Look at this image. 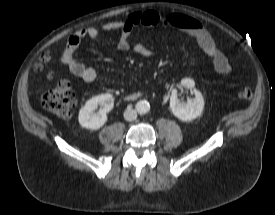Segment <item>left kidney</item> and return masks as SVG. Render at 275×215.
I'll use <instances>...</instances> for the list:
<instances>
[{
  "mask_svg": "<svg viewBox=\"0 0 275 215\" xmlns=\"http://www.w3.org/2000/svg\"><path fill=\"white\" fill-rule=\"evenodd\" d=\"M181 84L187 88H194L195 82L191 78H184ZM195 99L193 101L182 102L177 98V91L173 90L170 96V109L175 117L181 121H191L196 119L203 111L204 99L202 94L194 89Z\"/></svg>",
  "mask_w": 275,
  "mask_h": 215,
  "instance_id": "obj_1",
  "label": "left kidney"
}]
</instances>
